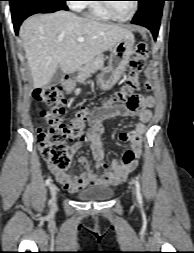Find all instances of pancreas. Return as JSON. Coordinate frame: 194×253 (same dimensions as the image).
<instances>
[{
    "instance_id": "pancreas-1",
    "label": "pancreas",
    "mask_w": 194,
    "mask_h": 253,
    "mask_svg": "<svg viewBox=\"0 0 194 253\" xmlns=\"http://www.w3.org/2000/svg\"><path fill=\"white\" fill-rule=\"evenodd\" d=\"M103 66H104V57L103 55L99 54L80 69V72L78 75V82H84L88 77L94 74L97 70L103 69Z\"/></svg>"
}]
</instances>
